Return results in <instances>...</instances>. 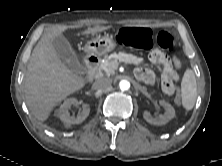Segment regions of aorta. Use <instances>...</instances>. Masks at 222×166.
Listing matches in <instances>:
<instances>
[{
	"mask_svg": "<svg viewBox=\"0 0 222 166\" xmlns=\"http://www.w3.org/2000/svg\"><path fill=\"white\" fill-rule=\"evenodd\" d=\"M119 87L123 91L128 90L130 88V83L127 80H121L119 83Z\"/></svg>",
	"mask_w": 222,
	"mask_h": 166,
	"instance_id": "obj_1",
	"label": "aorta"
}]
</instances>
